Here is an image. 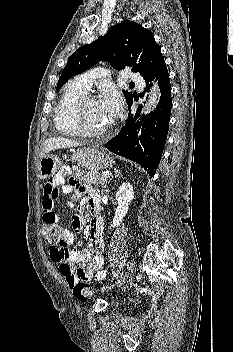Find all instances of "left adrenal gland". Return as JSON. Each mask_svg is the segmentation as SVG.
<instances>
[{
  "label": "left adrenal gland",
  "mask_w": 233,
  "mask_h": 352,
  "mask_svg": "<svg viewBox=\"0 0 233 352\" xmlns=\"http://www.w3.org/2000/svg\"><path fill=\"white\" fill-rule=\"evenodd\" d=\"M115 174H116L115 177H119V176L121 175V173H120L118 170H115ZM112 178H113V177H112ZM112 178L107 179L105 182H106V183H109ZM105 187H106V186H105Z\"/></svg>",
  "instance_id": "1"
}]
</instances>
